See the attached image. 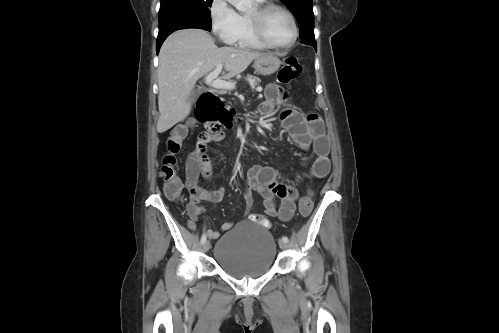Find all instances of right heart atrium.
<instances>
[{"mask_svg": "<svg viewBox=\"0 0 499 333\" xmlns=\"http://www.w3.org/2000/svg\"><path fill=\"white\" fill-rule=\"evenodd\" d=\"M209 20L216 38L223 43L233 44L240 29L241 19L228 0H211Z\"/></svg>", "mask_w": 499, "mask_h": 333, "instance_id": "d8ad5b80", "label": "right heart atrium"}]
</instances>
